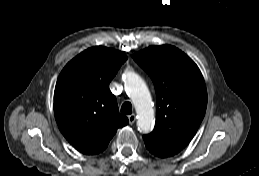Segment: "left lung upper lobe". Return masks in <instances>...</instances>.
Wrapping results in <instances>:
<instances>
[{
    "label": "left lung upper lobe",
    "mask_w": 259,
    "mask_h": 176,
    "mask_svg": "<svg viewBox=\"0 0 259 176\" xmlns=\"http://www.w3.org/2000/svg\"><path fill=\"white\" fill-rule=\"evenodd\" d=\"M151 76L157 94L152 133L146 148L165 158L180 152L194 137L206 111L207 91L198 66L174 46H151L133 55Z\"/></svg>",
    "instance_id": "obj_1"
}]
</instances>
